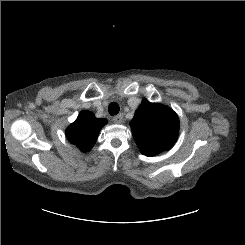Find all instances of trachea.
Returning <instances> with one entry per match:
<instances>
[{
	"label": "trachea",
	"instance_id": "1",
	"mask_svg": "<svg viewBox=\"0 0 245 245\" xmlns=\"http://www.w3.org/2000/svg\"><path fill=\"white\" fill-rule=\"evenodd\" d=\"M119 105L115 102H111L108 107V111L111 115H117L119 113Z\"/></svg>",
	"mask_w": 245,
	"mask_h": 245
}]
</instances>
